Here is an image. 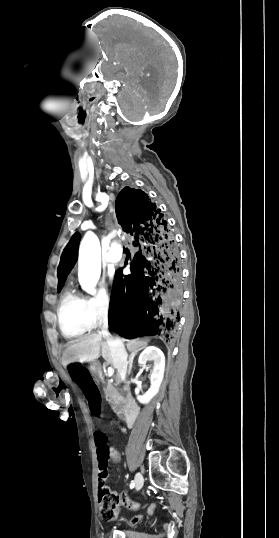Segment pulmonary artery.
Wrapping results in <instances>:
<instances>
[{
	"mask_svg": "<svg viewBox=\"0 0 279 538\" xmlns=\"http://www.w3.org/2000/svg\"><path fill=\"white\" fill-rule=\"evenodd\" d=\"M118 261H119L118 257H115V256L114 257H107L104 260V265L108 269H113L116 266V264L118 263Z\"/></svg>",
	"mask_w": 279,
	"mask_h": 538,
	"instance_id": "obj_1",
	"label": "pulmonary artery"
}]
</instances>
